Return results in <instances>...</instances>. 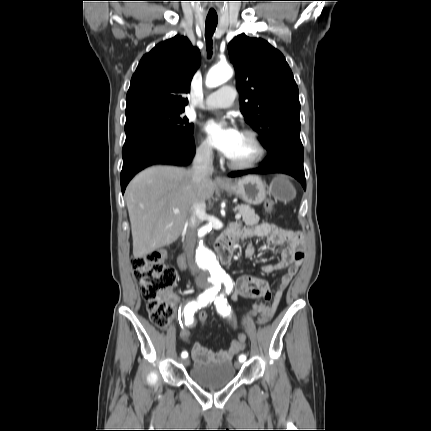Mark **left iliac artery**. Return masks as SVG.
I'll return each instance as SVG.
<instances>
[{"label": "left iliac artery", "mask_w": 431, "mask_h": 431, "mask_svg": "<svg viewBox=\"0 0 431 431\" xmlns=\"http://www.w3.org/2000/svg\"><path fill=\"white\" fill-rule=\"evenodd\" d=\"M223 283L225 286V291L219 295H217L218 291H216L214 293L213 300H214V304L216 305V309H217L218 313H220L223 316H228V315H230L231 308L227 303V299L225 298V295L229 294L231 292L232 280L230 278H227V279L223 280ZM245 360H246L245 355L239 356L240 362H243Z\"/></svg>", "instance_id": "left-iliac-artery-1"}]
</instances>
